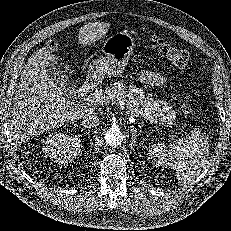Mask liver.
<instances>
[{
	"label": "liver",
	"instance_id": "1",
	"mask_svg": "<svg viewBox=\"0 0 231 231\" xmlns=\"http://www.w3.org/2000/svg\"><path fill=\"white\" fill-rule=\"evenodd\" d=\"M110 24L94 22L79 30L78 41L90 45L106 34ZM56 57L51 48L42 47L28 59L13 98L11 138L15 145L93 112L82 104L71 102L49 78L46 67Z\"/></svg>",
	"mask_w": 231,
	"mask_h": 231
}]
</instances>
